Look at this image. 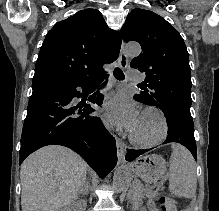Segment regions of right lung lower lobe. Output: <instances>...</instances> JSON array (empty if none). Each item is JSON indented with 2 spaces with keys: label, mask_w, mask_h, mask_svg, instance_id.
I'll return each mask as SVG.
<instances>
[{
  "label": "right lung lower lobe",
  "mask_w": 219,
  "mask_h": 211,
  "mask_svg": "<svg viewBox=\"0 0 219 211\" xmlns=\"http://www.w3.org/2000/svg\"><path fill=\"white\" fill-rule=\"evenodd\" d=\"M105 74L106 72L95 79L83 81L32 83L33 93L23 125L19 164L35 150L57 144L78 153L101 178L115 167L117 163L115 139L106 130L99 117L89 115L95 111L94 105L85 102L75 105L74 102L75 97L82 96L77 90L79 87L87 91ZM107 77L108 75H105V78ZM88 101L101 105L103 95L94 93Z\"/></svg>",
  "instance_id": "1"
}]
</instances>
